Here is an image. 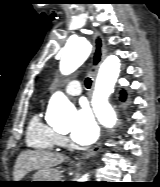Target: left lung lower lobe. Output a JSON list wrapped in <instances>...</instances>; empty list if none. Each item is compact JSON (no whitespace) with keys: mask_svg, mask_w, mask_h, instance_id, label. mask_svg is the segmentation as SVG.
<instances>
[{"mask_svg":"<svg viewBox=\"0 0 160 187\" xmlns=\"http://www.w3.org/2000/svg\"><path fill=\"white\" fill-rule=\"evenodd\" d=\"M120 100H121V101H125V100H126V92H125L124 90L121 91Z\"/></svg>","mask_w":160,"mask_h":187,"instance_id":"0a47b994","label":"left lung lower lobe"}]
</instances>
